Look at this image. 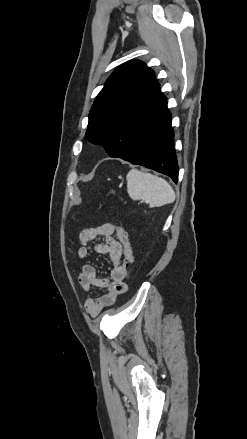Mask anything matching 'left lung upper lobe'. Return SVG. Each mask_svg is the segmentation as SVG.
I'll use <instances>...</instances> for the list:
<instances>
[{"instance_id":"obj_1","label":"left lung upper lobe","mask_w":247,"mask_h":439,"mask_svg":"<svg viewBox=\"0 0 247 439\" xmlns=\"http://www.w3.org/2000/svg\"><path fill=\"white\" fill-rule=\"evenodd\" d=\"M165 102L154 72L143 62L129 61L113 72L95 99L85 137L104 146L110 157L123 158Z\"/></svg>"}]
</instances>
